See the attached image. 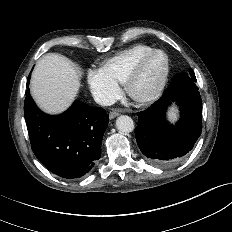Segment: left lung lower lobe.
<instances>
[{
	"label": "left lung lower lobe",
	"instance_id": "obj_1",
	"mask_svg": "<svg viewBox=\"0 0 232 232\" xmlns=\"http://www.w3.org/2000/svg\"><path fill=\"white\" fill-rule=\"evenodd\" d=\"M176 102L180 119L171 125L166 110ZM202 131V100L198 87L184 86L178 74L163 96L147 110L138 113L137 144L146 159L157 167H171L183 161Z\"/></svg>",
	"mask_w": 232,
	"mask_h": 232
}]
</instances>
